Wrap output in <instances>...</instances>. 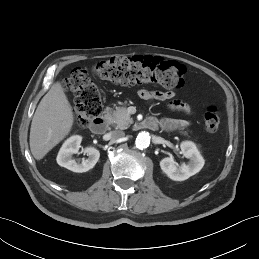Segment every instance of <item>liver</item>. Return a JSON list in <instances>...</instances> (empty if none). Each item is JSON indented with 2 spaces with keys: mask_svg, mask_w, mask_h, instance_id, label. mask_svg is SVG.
<instances>
[{
  "mask_svg": "<svg viewBox=\"0 0 259 259\" xmlns=\"http://www.w3.org/2000/svg\"><path fill=\"white\" fill-rule=\"evenodd\" d=\"M72 107L60 82L52 85L40 101L30 128V149L36 160L42 159L71 131Z\"/></svg>",
  "mask_w": 259,
  "mask_h": 259,
  "instance_id": "6515ba94",
  "label": "liver"
}]
</instances>
